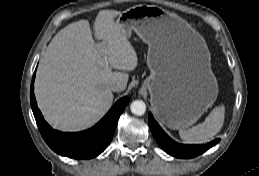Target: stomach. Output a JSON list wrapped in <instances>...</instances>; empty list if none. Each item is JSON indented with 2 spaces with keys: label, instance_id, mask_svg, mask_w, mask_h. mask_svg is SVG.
Returning <instances> with one entry per match:
<instances>
[{
  "label": "stomach",
  "instance_id": "1",
  "mask_svg": "<svg viewBox=\"0 0 259 176\" xmlns=\"http://www.w3.org/2000/svg\"><path fill=\"white\" fill-rule=\"evenodd\" d=\"M116 23L129 38L134 31L148 44L150 76L143 87L162 123L172 129L193 125L218 95L202 38L179 16L156 5H136Z\"/></svg>",
  "mask_w": 259,
  "mask_h": 176
}]
</instances>
